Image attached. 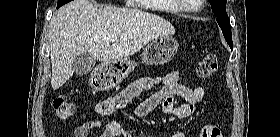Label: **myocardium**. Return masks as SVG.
Masks as SVG:
<instances>
[{"instance_id":"myocardium-1","label":"myocardium","mask_w":280,"mask_h":137,"mask_svg":"<svg viewBox=\"0 0 280 137\" xmlns=\"http://www.w3.org/2000/svg\"><path fill=\"white\" fill-rule=\"evenodd\" d=\"M199 2H200L199 6H201L203 4L204 0H199ZM181 7L185 8V9L191 11V12L198 11V8H193V7H190L189 5H181Z\"/></svg>"}]
</instances>
